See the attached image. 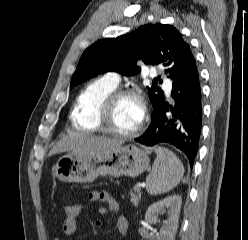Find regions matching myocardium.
<instances>
[{
  "label": "myocardium",
  "instance_id": "1",
  "mask_svg": "<svg viewBox=\"0 0 248 240\" xmlns=\"http://www.w3.org/2000/svg\"><path fill=\"white\" fill-rule=\"evenodd\" d=\"M124 97L136 98L140 102L142 108V118L139 124L135 129L129 132H121L112 128L109 121L110 114L114 109L115 105L120 99ZM146 115H147V109L142 95L137 90L134 89L119 88L109 93L100 103L97 109L96 123L99 130L106 134L120 138H131L138 135L142 130Z\"/></svg>",
  "mask_w": 248,
  "mask_h": 240
}]
</instances>
